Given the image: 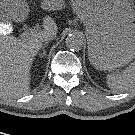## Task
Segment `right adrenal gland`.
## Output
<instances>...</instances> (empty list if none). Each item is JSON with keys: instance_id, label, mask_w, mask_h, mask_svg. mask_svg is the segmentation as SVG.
I'll return each instance as SVG.
<instances>
[{"instance_id": "obj_1", "label": "right adrenal gland", "mask_w": 135, "mask_h": 135, "mask_svg": "<svg viewBox=\"0 0 135 135\" xmlns=\"http://www.w3.org/2000/svg\"><path fill=\"white\" fill-rule=\"evenodd\" d=\"M48 41L44 43V45L42 46V53L40 54L41 57H46V50L45 48L47 47Z\"/></svg>"}]
</instances>
